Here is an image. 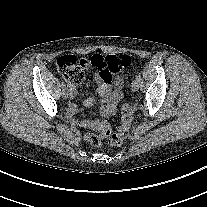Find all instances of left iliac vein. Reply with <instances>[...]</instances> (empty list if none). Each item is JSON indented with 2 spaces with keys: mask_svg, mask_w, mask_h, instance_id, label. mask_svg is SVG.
Here are the masks:
<instances>
[{
  "mask_svg": "<svg viewBox=\"0 0 207 207\" xmlns=\"http://www.w3.org/2000/svg\"><path fill=\"white\" fill-rule=\"evenodd\" d=\"M131 89L132 91L136 92L139 89V81H137L136 79L132 82L131 84Z\"/></svg>",
  "mask_w": 207,
  "mask_h": 207,
  "instance_id": "4c4485c4",
  "label": "left iliac vein"
}]
</instances>
